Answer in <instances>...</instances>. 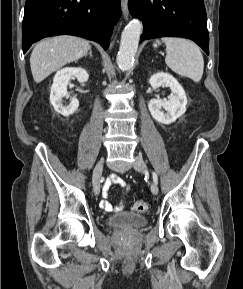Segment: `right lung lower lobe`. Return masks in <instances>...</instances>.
<instances>
[{"instance_id": "right-lung-lower-lobe-1", "label": "right lung lower lobe", "mask_w": 243, "mask_h": 289, "mask_svg": "<svg viewBox=\"0 0 243 289\" xmlns=\"http://www.w3.org/2000/svg\"><path fill=\"white\" fill-rule=\"evenodd\" d=\"M120 16V0H26L22 48L44 37L75 35L98 42L106 50Z\"/></svg>"}]
</instances>
